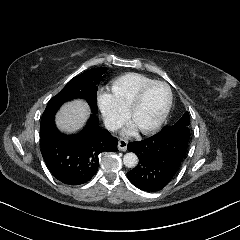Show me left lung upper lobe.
Instances as JSON below:
<instances>
[{"label": "left lung upper lobe", "mask_w": 240, "mask_h": 240, "mask_svg": "<svg viewBox=\"0 0 240 240\" xmlns=\"http://www.w3.org/2000/svg\"><path fill=\"white\" fill-rule=\"evenodd\" d=\"M190 116L188 112H185L183 116L173 125L165 126L162 130H176L190 135L189 130Z\"/></svg>", "instance_id": "1"}]
</instances>
